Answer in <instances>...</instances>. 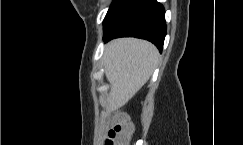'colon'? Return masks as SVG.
<instances>
[{"label":"colon","instance_id":"colon-1","mask_svg":"<svg viewBox=\"0 0 243 145\" xmlns=\"http://www.w3.org/2000/svg\"><path fill=\"white\" fill-rule=\"evenodd\" d=\"M133 131L134 126L128 116L120 113L116 116L115 125L109 131L104 145H127Z\"/></svg>","mask_w":243,"mask_h":145}]
</instances>
